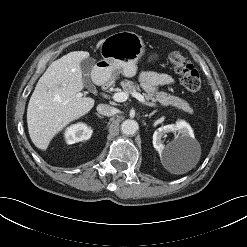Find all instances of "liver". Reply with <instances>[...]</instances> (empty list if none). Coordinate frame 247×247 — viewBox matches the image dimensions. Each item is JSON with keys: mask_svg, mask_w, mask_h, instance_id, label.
Masks as SVG:
<instances>
[{"mask_svg": "<svg viewBox=\"0 0 247 247\" xmlns=\"http://www.w3.org/2000/svg\"><path fill=\"white\" fill-rule=\"evenodd\" d=\"M88 57L86 51L70 52L52 62L38 80L27 108L28 131L37 148L46 150L58 132L93 108L94 99L80 93L84 88L80 64Z\"/></svg>", "mask_w": 247, "mask_h": 247, "instance_id": "6515ba94", "label": "liver"}]
</instances>
